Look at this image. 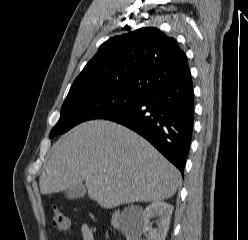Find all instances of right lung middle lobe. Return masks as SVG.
Listing matches in <instances>:
<instances>
[{
    "mask_svg": "<svg viewBox=\"0 0 248 240\" xmlns=\"http://www.w3.org/2000/svg\"><path fill=\"white\" fill-rule=\"evenodd\" d=\"M143 95L126 93L112 88L70 90L61 108L58 123L50 137L67 132L77 124L93 119H104L136 104Z\"/></svg>",
    "mask_w": 248,
    "mask_h": 240,
    "instance_id": "1",
    "label": "right lung middle lobe"
}]
</instances>
